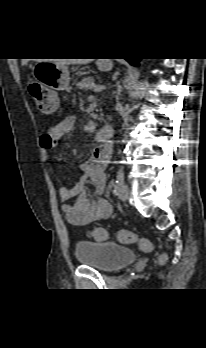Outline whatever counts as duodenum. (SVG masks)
<instances>
[{"label": "duodenum", "instance_id": "1", "mask_svg": "<svg viewBox=\"0 0 206 348\" xmlns=\"http://www.w3.org/2000/svg\"><path fill=\"white\" fill-rule=\"evenodd\" d=\"M114 132V127L107 125L96 132L94 139L99 143L100 146L110 148L108 142L112 138Z\"/></svg>", "mask_w": 206, "mask_h": 348}]
</instances>
